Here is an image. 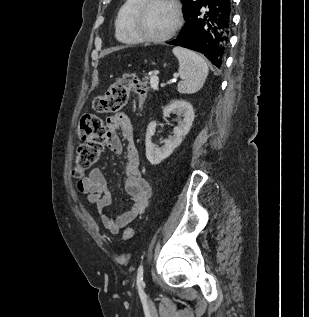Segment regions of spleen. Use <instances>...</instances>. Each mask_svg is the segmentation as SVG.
<instances>
[{
    "instance_id": "1",
    "label": "spleen",
    "mask_w": 309,
    "mask_h": 317,
    "mask_svg": "<svg viewBox=\"0 0 309 317\" xmlns=\"http://www.w3.org/2000/svg\"><path fill=\"white\" fill-rule=\"evenodd\" d=\"M172 51L179 61L178 74L182 79L177 85V91L182 94L196 93L207 78L209 71L207 63L191 50L174 47Z\"/></svg>"
}]
</instances>
